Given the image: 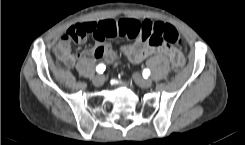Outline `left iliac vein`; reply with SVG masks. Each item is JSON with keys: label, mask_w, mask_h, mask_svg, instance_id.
Returning <instances> with one entry per match:
<instances>
[{"label": "left iliac vein", "mask_w": 245, "mask_h": 145, "mask_svg": "<svg viewBox=\"0 0 245 145\" xmlns=\"http://www.w3.org/2000/svg\"><path fill=\"white\" fill-rule=\"evenodd\" d=\"M133 78L135 82L142 88H149L152 86V81L150 79H145L138 73H135Z\"/></svg>", "instance_id": "obj_1"}]
</instances>
